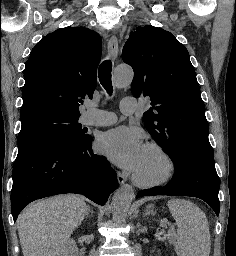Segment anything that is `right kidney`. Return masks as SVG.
Here are the masks:
<instances>
[{"instance_id": "1", "label": "right kidney", "mask_w": 236, "mask_h": 256, "mask_svg": "<svg viewBox=\"0 0 236 256\" xmlns=\"http://www.w3.org/2000/svg\"><path fill=\"white\" fill-rule=\"evenodd\" d=\"M64 256H78L77 246H75V242L73 240H67L66 252Z\"/></svg>"}]
</instances>
